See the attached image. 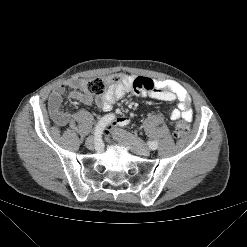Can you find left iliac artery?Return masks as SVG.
Masks as SVG:
<instances>
[{
  "mask_svg": "<svg viewBox=\"0 0 247 247\" xmlns=\"http://www.w3.org/2000/svg\"><path fill=\"white\" fill-rule=\"evenodd\" d=\"M149 147L152 149V150H156L158 148V142L157 141H152L149 143Z\"/></svg>",
  "mask_w": 247,
  "mask_h": 247,
  "instance_id": "obj_1",
  "label": "left iliac artery"
}]
</instances>
